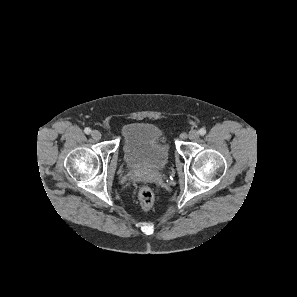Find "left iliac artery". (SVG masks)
I'll use <instances>...</instances> for the list:
<instances>
[{
    "label": "left iliac artery",
    "mask_w": 297,
    "mask_h": 297,
    "mask_svg": "<svg viewBox=\"0 0 297 297\" xmlns=\"http://www.w3.org/2000/svg\"><path fill=\"white\" fill-rule=\"evenodd\" d=\"M199 134L202 135V136L205 135L206 134V130L204 128H201L199 130Z\"/></svg>",
    "instance_id": "1"
}]
</instances>
